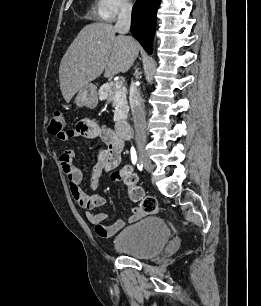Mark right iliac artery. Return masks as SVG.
Segmentation results:
<instances>
[{
	"instance_id": "1",
	"label": "right iliac artery",
	"mask_w": 261,
	"mask_h": 306,
	"mask_svg": "<svg viewBox=\"0 0 261 306\" xmlns=\"http://www.w3.org/2000/svg\"><path fill=\"white\" fill-rule=\"evenodd\" d=\"M131 160L133 164L137 163V153L134 147H131ZM139 170H142L143 164L140 162L137 164Z\"/></svg>"
}]
</instances>
